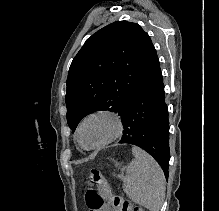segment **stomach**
<instances>
[{
  "instance_id": "0dacf381",
  "label": "stomach",
  "mask_w": 219,
  "mask_h": 211,
  "mask_svg": "<svg viewBox=\"0 0 219 211\" xmlns=\"http://www.w3.org/2000/svg\"><path fill=\"white\" fill-rule=\"evenodd\" d=\"M115 165H116V166H119V164H118V163H116Z\"/></svg>"
}]
</instances>
